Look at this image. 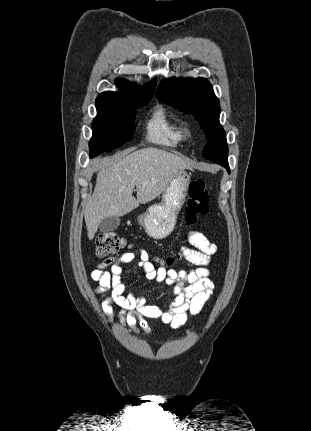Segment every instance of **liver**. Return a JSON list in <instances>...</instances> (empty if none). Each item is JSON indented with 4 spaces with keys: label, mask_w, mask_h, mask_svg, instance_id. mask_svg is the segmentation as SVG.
Segmentation results:
<instances>
[{
    "label": "liver",
    "mask_w": 311,
    "mask_h": 431,
    "mask_svg": "<svg viewBox=\"0 0 311 431\" xmlns=\"http://www.w3.org/2000/svg\"><path fill=\"white\" fill-rule=\"evenodd\" d=\"M125 152L97 174L95 190L84 212L89 239H93L104 217L125 216L140 204L152 202L165 192L178 172L192 170L179 156L157 148Z\"/></svg>",
    "instance_id": "6515ba94"
}]
</instances>
